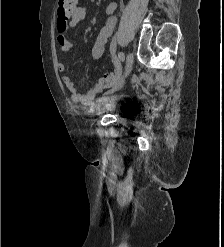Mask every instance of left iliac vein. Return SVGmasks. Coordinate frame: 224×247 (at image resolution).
Here are the masks:
<instances>
[{"label": "left iliac vein", "mask_w": 224, "mask_h": 247, "mask_svg": "<svg viewBox=\"0 0 224 247\" xmlns=\"http://www.w3.org/2000/svg\"><path fill=\"white\" fill-rule=\"evenodd\" d=\"M133 62H134L133 54L128 53V55L126 57V65H125V72H124L125 77H127L130 74V72L132 71Z\"/></svg>", "instance_id": "obj_1"}]
</instances>
